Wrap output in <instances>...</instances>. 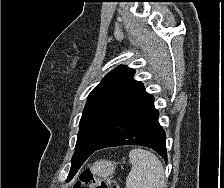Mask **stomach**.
Instances as JSON below:
<instances>
[{"label": "stomach", "mask_w": 224, "mask_h": 188, "mask_svg": "<svg viewBox=\"0 0 224 188\" xmlns=\"http://www.w3.org/2000/svg\"><path fill=\"white\" fill-rule=\"evenodd\" d=\"M115 168V162L103 159L94 162L90 167L91 172L98 177H106L112 175L115 171Z\"/></svg>", "instance_id": "0dacf381"}]
</instances>
